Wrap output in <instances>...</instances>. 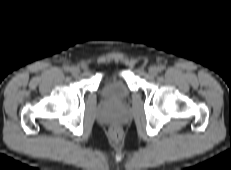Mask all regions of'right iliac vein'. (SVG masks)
Returning <instances> with one entry per match:
<instances>
[{"mask_svg":"<svg viewBox=\"0 0 231 170\" xmlns=\"http://www.w3.org/2000/svg\"><path fill=\"white\" fill-rule=\"evenodd\" d=\"M71 73L73 75H78L80 73V69L77 67V66H73L71 69H70Z\"/></svg>","mask_w":231,"mask_h":170,"instance_id":"1","label":"right iliac vein"}]
</instances>
